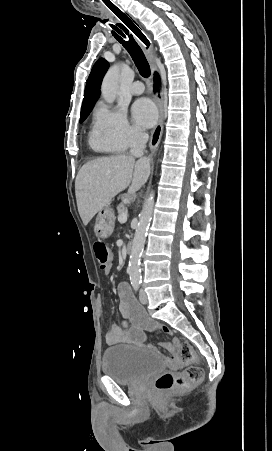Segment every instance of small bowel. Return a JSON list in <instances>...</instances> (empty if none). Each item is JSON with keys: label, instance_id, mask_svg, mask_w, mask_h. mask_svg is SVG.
Instances as JSON below:
<instances>
[{"label": "small bowel", "instance_id": "1", "mask_svg": "<svg viewBox=\"0 0 272 451\" xmlns=\"http://www.w3.org/2000/svg\"><path fill=\"white\" fill-rule=\"evenodd\" d=\"M104 271L106 274L111 271V262ZM117 296L119 299V312L125 320L130 321V325L123 329L117 324H113L106 335L107 343L111 345L126 343L138 348L146 347L151 351H158L159 348L157 346L144 343L143 330L157 327V325L148 318L141 305L136 301L130 286L125 282L119 283ZM161 329L165 333H171L166 326H162ZM178 343V338H173L172 342H162L160 347L168 350V348H174Z\"/></svg>", "mask_w": 272, "mask_h": 451}]
</instances>
